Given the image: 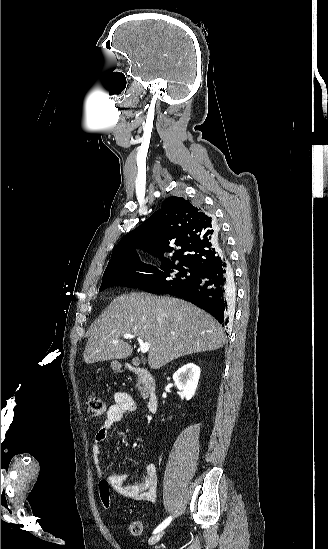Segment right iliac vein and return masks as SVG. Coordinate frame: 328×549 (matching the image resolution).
I'll return each instance as SVG.
<instances>
[{
	"label": "right iliac vein",
	"instance_id": "obj_1",
	"mask_svg": "<svg viewBox=\"0 0 328 549\" xmlns=\"http://www.w3.org/2000/svg\"><path fill=\"white\" fill-rule=\"evenodd\" d=\"M164 534V531H159L157 533H155L154 535H152L149 540H148V544L149 545H154L156 544L163 536Z\"/></svg>",
	"mask_w": 328,
	"mask_h": 549
}]
</instances>
